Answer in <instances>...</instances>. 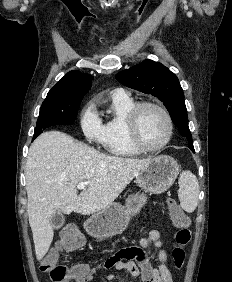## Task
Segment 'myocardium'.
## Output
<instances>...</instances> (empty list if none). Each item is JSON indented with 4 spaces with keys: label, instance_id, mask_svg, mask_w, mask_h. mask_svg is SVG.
Instances as JSON below:
<instances>
[{
    "label": "myocardium",
    "instance_id": "1",
    "mask_svg": "<svg viewBox=\"0 0 232 282\" xmlns=\"http://www.w3.org/2000/svg\"><path fill=\"white\" fill-rule=\"evenodd\" d=\"M145 108H154L158 110L164 116L166 120L167 127H168V133L164 141L161 142L159 145L149 146L145 144L140 137L139 128H138L139 117H140L141 112ZM126 125H127V132H128L130 141L136 148H138L139 150L143 152H154V151L161 150L162 148H164L166 145L169 144V142L172 139L173 133H174V124H173V120L169 112L160 104L155 103V102H150V101H143V102L136 103L127 114Z\"/></svg>",
    "mask_w": 232,
    "mask_h": 282
}]
</instances>
